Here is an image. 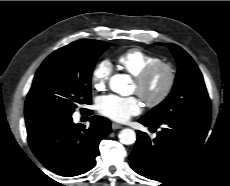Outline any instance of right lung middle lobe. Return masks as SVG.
Instances as JSON below:
<instances>
[{"label":"right lung middle lobe","mask_w":230,"mask_h":186,"mask_svg":"<svg viewBox=\"0 0 230 186\" xmlns=\"http://www.w3.org/2000/svg\"><path fill=\"white\" fill-rule=\"evenodd\" d=\"M110 43L82 39L50 54L39 67L27 95L25 114H72L91 103V76Z\"/></svg>","instance_id":"right-lung-middle-lobe-1"}]
</instances>
